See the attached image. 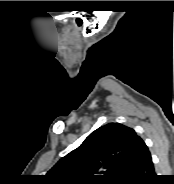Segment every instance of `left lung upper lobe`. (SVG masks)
Here are the masks:
<instances>
[{"label":"left lung upper lobe","instance_id":"1","mask_svg":"<svg viewBox=\"0 0 174 184\" xmlns=\"http://www.w3.org/2000/svg\"><path fill=\"white\" fill-rule=\"evenodd\" d=\"M140 141L132 128L108 123L93 131L47 175L55 184H121Z\"/></svg>","mask_w":174,"mask_h":184}]
</instances>
